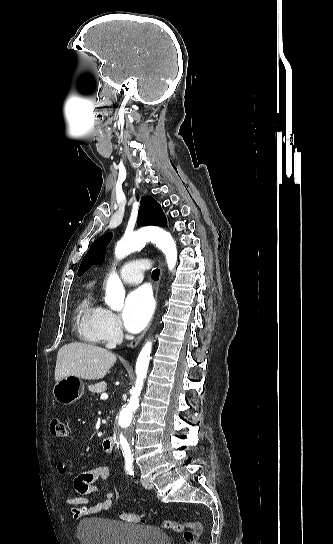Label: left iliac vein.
<instances>
[{
    "label": "left iliac vein",
    "mask_w": 333,
    "mask_h": 544,
    "mask_svg": "<svg viewBox=\"0 0 333 544\" xmlns=\"http://www.w3.org/2000/svg\"><path fill=\"white\" fill-rule=\"evenodd\" d=\"M141 483H142L143 487L146 488V489H151L152 488V484L146 479L142 478Z\"/></svg>",
    "instance_id": "left-iliac-vein-1"
}]
</instances>
